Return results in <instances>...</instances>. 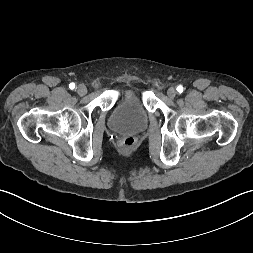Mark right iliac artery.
Here are the masks:
<instances>
[{
  "mask_svg": "<svg viewBox=\"0 0 253 253\" xmlns=\"http://www.w3.org/2000/svg\"><path fill=\"white\" fill-rule=\"evenodd\" d=\"M69 88L73 90L75 88V84L74 83H70L69 84Z\"/></svg>",
  "mask_w": 253,
  "mask_h": 253,
  "instance_id": "obj_1",
  "label": "right iliac artery"
}]
</instances>
